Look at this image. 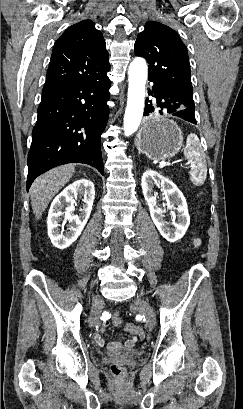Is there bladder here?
<instances>
[{"label": "bladder", "instance_id": "1", "mask_svg": "<svg viewBox=\"0 0 243 409\" xmlns=\"http://www.w3.org/2000/svg\"><path fill=\"white\" fill-rule=\"evenodd\" d=\"M113 355L123 358V359H129V358H134L140 355V350L138 349H124V350H118L112 353Z\"/></svg>", "mask_w": 243, "mask_h": 409}]
</instances>
